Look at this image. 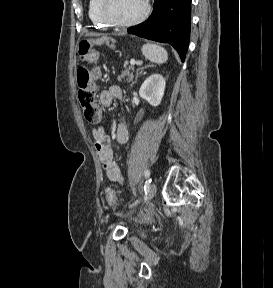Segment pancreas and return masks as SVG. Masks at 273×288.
<instances>
[{"label": "pancreas", "mask_w": 273, "mask_h": 288, "mask_svg": "<svg viewBox=\"0 0 273 288\" xmlns=\"http://www.w3.org/2000/svg\"><path fill=\"white\" fill-rule=\"evenodd\" d=\"M133 71H134L133 67L125 65V69L121 72V75L118 76V80L121 81L122 78L128 76L129 77L128 81H131V79L133 77Z\"/></svg>", "instance_id": "cf45deb5"}]
</instances>
